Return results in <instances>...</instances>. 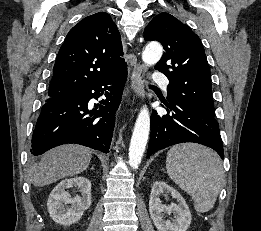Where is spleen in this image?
Listing matches in <instances>:
<instances>
[{
    "instance_id": "obj_1",
    "label": "spleen",
    "mask_w": 261,
    "mask_h": 231,
    "mask_svg": "<svg viewBox=\"0 0 261 231\" xmlns=\"http://www.w3.org/2000/svg\"><path fill=\"white\" fill-rule=\"evenodd\" d=\"M168 176L194 200L197 212L213 208L224 176L220 157L197 144L170 148L166 158Z\"/></svg>"
}]
</instances>
